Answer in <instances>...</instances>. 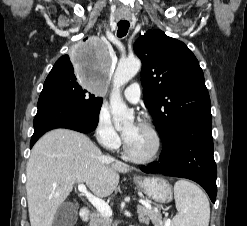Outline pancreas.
<instances>
[{"instance_id": "1", "label": "pancreas", "mask_w": 247, "mask_h": 226, "mask_svg": "<svg viewBox=\"0 0 247 226\" xmlns=\"http://www.w3.org/2000/svg\"><path fill=\"white\" fill-rule=\"evenodd\" d=\"M138 218L141 223H149L151 220L153 223H158L161 220L159 213L150 211L149 209L139 206ZM112 219L110 217L103 216L99 211L91 214L89 226H111Z\"/></svg>"}]
</instances>
